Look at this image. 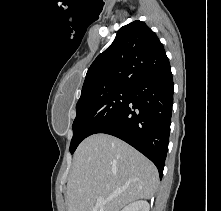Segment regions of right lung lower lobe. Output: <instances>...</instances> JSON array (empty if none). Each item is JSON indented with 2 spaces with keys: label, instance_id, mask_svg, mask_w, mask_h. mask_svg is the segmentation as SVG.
Segmentation results:
<instances>
[{
  "label": "right lung lower lobe",
  "instance_id": "obj_1",
  "mask_svg": "<svg viewBox=\"0 0 221 211\" xmlns=\"http://www.w3.org/2000/svg\"><path fill=\"white\" fill-rule=\"evenodd\" d=\"M174 84L170 67L131 86L126 105L96 133L120 138L149 158L163 175Z\"/></svg>",
  "mask_w": 221,
  "mask_h": 211
}]
</instances>
